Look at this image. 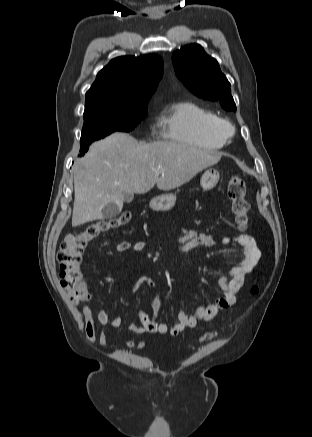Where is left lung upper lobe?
<instances>
[{
	"label": "left lung upper lobe",
	"mask_w": 312,
	"mask_h": 437,
	"mask_svg": "<svg viewBox=\"0 0 312 437\" xmlns=\"http://www.w3.org/2000/svg\"><path fill=\"white\" fill-rule=\"evenodd\" d=\"M175 73L182 83L203 99L218 101L225 110L236 111L230 83L218 62L198 44L186 45L173 53Z\"/></svg>",
	"instance_id": "obj_1"
}]
</instances>
